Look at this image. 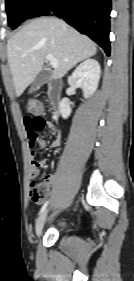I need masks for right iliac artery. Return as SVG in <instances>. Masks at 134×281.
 I'll use <instances>...</instances> for the list:
<instances>
[{
    "instance_id": "82829eb1",
    "label": "right iliac artery",
    "mask_w": 134,
    "mask_h": 281,
    "mask_svg": "<svg viewBox=\"0 0 134 281\" xmlns=\"http://www.w3.org/2000/svg\"><path fill=\"white\" fill-rule=\"evenodd\" d=\"M49 201H46L44 203V205L42 206L41 210H40V214L46 209L47 205H48Z\"/></svg>"
}]
</instances>
